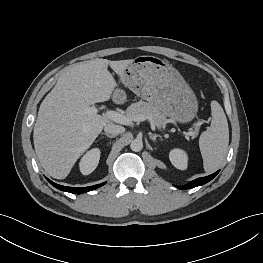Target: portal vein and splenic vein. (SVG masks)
<instances>
[{
    "label": "portal vein and splenic vein",
    "mask_w": 263,
    "mask_h": 263,
    "mask_svg": "<svg viewBox=\"0 0 263 263\" xmlns=\"http://www.w3.org/2000/svg\"><path fill=\"white\" fill-rule=\"evenodd\" d=\"M84 112L86 114H94L98 112V109L94 106L91 107H86L84 108ZM105 116L109 119H111L112 121L119 123V124H123V125H129L131 123V121L133 119H131L130 117L120 114L116 111L113 110H107L105 112ZM145 119H149L148 117L145 116H138L135 121H143ZM186 136H195V133L193 131H189V132H185Z\"/></svg>",
    "instance_id": "18ae733b"
}]
</instances>
